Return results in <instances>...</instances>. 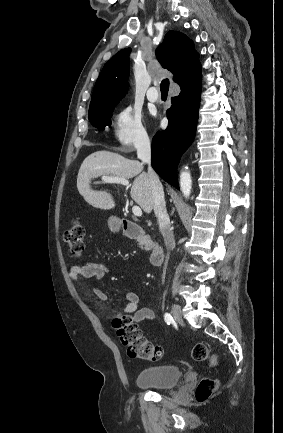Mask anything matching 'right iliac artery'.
Instances as JSON below:
<instances>
[{
	"label": "right iliac artery",
	"mask_w": 283,
	"mask_h": 433,
	"mask_svg": "<svg viewBox=\"0 0 283 433\" xmlns=\"http://www.w3.org/2000/svg\"><path fill=\"white\" fill-rule=\"evenodd\" d=\"M164 319L168 325H170L172 322H174L173 317L169 313L165 314Z\"/></svg>",
	"instance_id": "82829eb1"
}]
</instances>
